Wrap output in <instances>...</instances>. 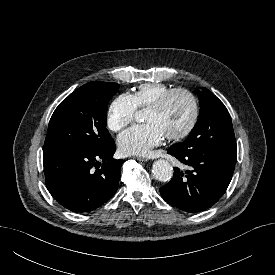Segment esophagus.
<instances>
[{"instance_id": "1", "label": "esophagus", "mask_w": 275, "mask_h": 275, "mask_svg": "<svg viewBox=\"0 0 275 275\" xmlns=\"http://www.w3.org/2000/svg\"><path fill=\"white\" fill-rule=\"evenodd\" d=\"M135 159H137L139 161H147L148 160V158H146V157H140V156L135 157Z\"/></svg>"}]
</instances>
